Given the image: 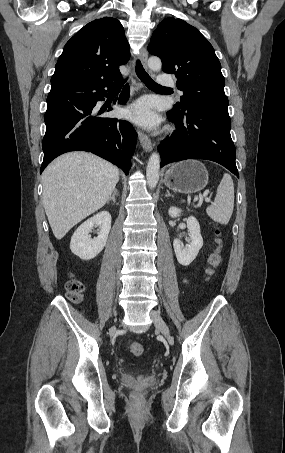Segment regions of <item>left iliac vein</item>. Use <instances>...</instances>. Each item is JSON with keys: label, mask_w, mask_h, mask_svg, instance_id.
Here are the masks:
<instances>
[{"label": "left iliac vein", "mask_w": 285, "mask_h": 453, "mask_svg": "<svg viewBox=\"0 0 285 453\" xmlns=\"http://www.w3.org/2000/svg\"><path fill=\"white\" fill-rule=\"evenodd\" d=\"M151 318L153 319V322H154V325L156 326V328L166 337V338H169L170 337V331H169V328L167 326V324L165 323V321L162 319L161 315L159 314V312L155 311V310H152L151 311Z\"/></svg>", "instance_id": "1"}]
</instances>
